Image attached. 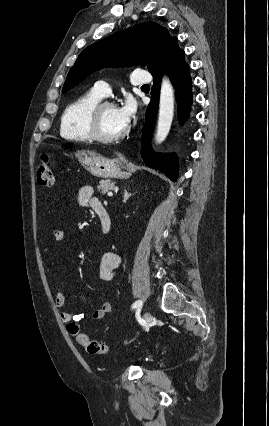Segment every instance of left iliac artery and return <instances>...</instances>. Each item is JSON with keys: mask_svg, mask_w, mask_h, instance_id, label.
<instances>
[{"mask_svg": "<svg viewBox=\"0 0 269 426\" xmlns=\"http://www.w3.org/2000/svg\"><path fill=\"white\" fill-rule=\"evenodd\" d=\"M142 300H138V301H136L135 303H133V305H132V308L133 309H135V308H141L142 307Z\"/></svg>", "mask_w": 269, "mask_h": 426, "instance_id": "left-iliac-artery-1", "label": "left iliac artery"}]
</instances>
